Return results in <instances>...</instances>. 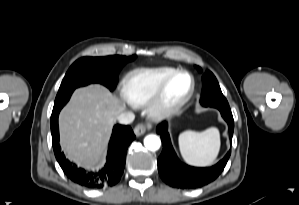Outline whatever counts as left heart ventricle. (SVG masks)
<instances>
[{
    "instance_id": "b2bd125f",
    "label": "left heart ventricle",
    "mask_w": 299,
    "mask_h": 205,
    "mask_svg": "<svg viewBox=\"0 0 299 205\" xmlns=\"http://www.w3.org/2000/svg\"><path fill=\"white\" fill-rule=\"evenodd\" d=\"M190 86V81L187 76L177 78L169 88L168 96L171 100L178 99L184 95Z\"/></svg>"
}]
</instances>
